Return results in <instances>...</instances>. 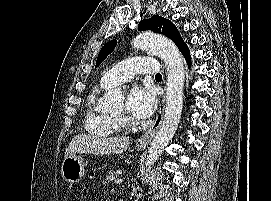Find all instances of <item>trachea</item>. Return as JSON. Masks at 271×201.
I'll use <instances>...</instances> for the list:
<instances>
[{
	"label": "trachea",
	"instance_id": "3493384b",
	"mask_svg": "<svg viewBox=\"0 0 271 201\" xmlns=\"http://www.w3.org/2000/svg\"><path fill=\"white\" fill-rule=\"evenodd\" d=\"M155 78H156V79H162V76H161L160 73H158V74L155 75Z\"/></svg>",
	"mask_w": 271,
	"mask_h": 201
}]
</instances>
